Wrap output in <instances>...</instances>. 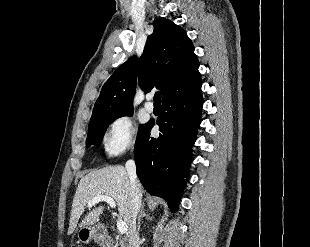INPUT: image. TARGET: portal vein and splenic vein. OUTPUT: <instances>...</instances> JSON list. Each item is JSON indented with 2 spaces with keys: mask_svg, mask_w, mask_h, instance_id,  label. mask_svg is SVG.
Returning <instances> with one entry per match:
<instances>
[{
  "mask_svg": "<svg viewBox=\"0 0 310 247\" xmlns=\"http://www.w3.org/2000/svg\"><path fill=\"white\" fill-rule=\"evenodd\" d=\"M102 201L109 204V206L111 208L116 207V203H115L114 199L111 198L110 196H107V195H100V196L93 198L90 202H88V206L92 207L93 205H95L99 202H102ZM117 229L121 234H125L128 231V226L124 221L118 220L117 221Z\"/></svg>",
  "mask_w": 310,
  "mask_h": 247,
  "instance_id": "obj_1",
  "label": "portal vein and splenic vein"
}]
</instances>
